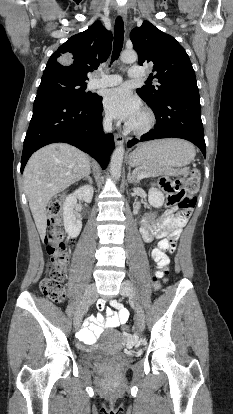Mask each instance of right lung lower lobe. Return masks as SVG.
Returning a JSON list of instances; mask_svg holds the SVG:
<instances>
[{"label": "right lung lower lobe", "instance_id": "98d812e1", "mask_svg": "<svg viewBox=\"0 0 233 414\" xmlns=\"http://www.w3.org/2000/svg\"><path fill=\"white\" fill-rule=\"evenodd\" d=\"M102 97L75 102L51 94L37 95L24 140L21 173L33 152L54 142L69 143L106 168L114 149L112 134L102 130Z\"/></svg>", "mask_w": 233, "mask_h": 414}]
</instances>
